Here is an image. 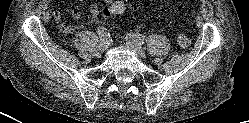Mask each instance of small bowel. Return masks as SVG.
<instances>
[{
	"label": "small bowel",
	"mask_w": 249,
	"mask_h": 123,
	"mask_svg": "<svg viewBox=\"0 0 249 123\" xmlns=\"http://www.w3.org/2000/svg\"><path fill=\"white\" fill-rule=\"evenodd\" d=\"M105 3L111 5V4H119V5H125V2H127V0H104ZM90 12L91 14L94 16V17H99L101 16V9L97 6V5H92L91 6V9H90ZM72 17L74 19H79L80 16H81V11L79 10V8H74L72 10ZM52 17L53 19L56 21V22H59L61 21L62 19V13L59 12V11H55L53 14H52ZM60 30L63 34H69L70 31H71V28L64 24V23H61L60 24Z\"/></svg>",
	"instance_id": "c3829d8e"
}]
</instances>
